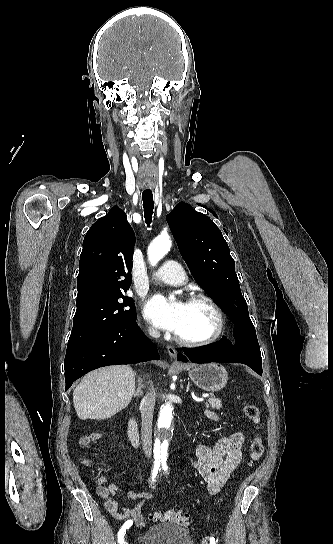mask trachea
I'll use <instances>...</instances> for the list:
<instances>
[{
  "label": "trachea",
  "mask_w": 333,
  "mask_h": 544,
  "mask_svg": "<svg viewBox=\"0 0 333 544\" xmlns=\"http://www.w3.org/2000/svg\"><path fill=\"white\" fill-rule=\"evenodd\" d=\"M145 222L148 226L152 221L154 201L151 190H144L142 194Z\"/></svg>",
  "instance_id": "trachea-1"
}]
</instances>
